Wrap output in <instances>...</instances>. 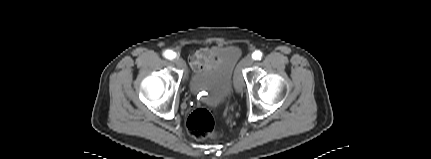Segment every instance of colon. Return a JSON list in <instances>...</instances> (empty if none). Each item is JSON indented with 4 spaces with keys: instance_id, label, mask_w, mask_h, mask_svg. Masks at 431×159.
<instances>
[{
    "instance_id": "colon-1",
    "label": "colon",
    "mask_w": 431,
    "mask_h": 159,
    "mask_svg": "<svg viewBox=\"0 0 431 159\" xmlns=\"http://www.w3.org/2000/svg\"><path fill=\"white\" fill-rule=\"evenodd\" d=\"M210 111L217 116L219 113L210 108ZM209 110L205 108L195 109L187 119V129L189 133L197 139H204L215 135L214 118Z\"/></svg>"
}]
</instances>
